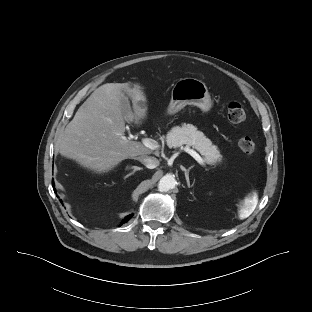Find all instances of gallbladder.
<instances>
[{
    "mask_svg": "<svg viewBox=\"0 0 312 312\" xmlns=\"http://www.w3.org/2000/svg\"><path fill=\"white\" fill-rule=\"evenodd\" d=\"M121 104H122V112L123 114H127L128 112H131V107H130V103L129 100L126 96H123L121 99Z\"/></svg>",
    "mask_w": 312,
    "mask_h": 312,
    "instance_id": "gallbladder-1",
    "label": "gallbladder"
}]
</instances>
